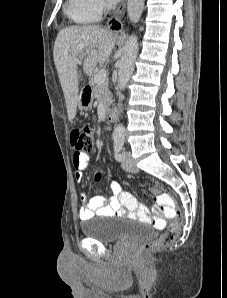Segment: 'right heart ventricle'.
<instances>
[{
    "instance_id": "e07e8e85",
    "label": "right heart ventricle",
    "mask_w": 227,
    "mask_h": 298,
    "mask_svg": "<svg viewBox=\"0 0 227 298\" xmlns=\"http://www.w3.org/2000/svg\"><path fill=\"white\" fill-rule=\"evenodd\" d=\"M64 12L71 20L80 24L91 23L98 17L83 0H67Z\"/></svg>"
}]
</instances>
